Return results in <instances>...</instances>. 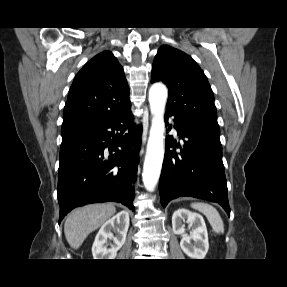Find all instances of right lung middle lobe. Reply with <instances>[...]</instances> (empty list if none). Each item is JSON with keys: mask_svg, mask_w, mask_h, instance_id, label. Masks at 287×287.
<instances>
[{"mask_svg": "<svg viewBox=\"0 0 287 287\" xmlns=\"http://www.w3.org/2000/svg\"><path fill=\"white\" fill-rule=\"evenodd\" d=\"M84 127H85L84 125L64 126V127H62L61 132H62V135H64V134H66V133H69V132H72V131H75V130L82 129V128H84Z\"/></svg>", "mask_w": 287, "mask_h": 287, "instance_id": "right-lung-middle-lobe-1", "label": "right lung middle lobe"}]
</instances>
